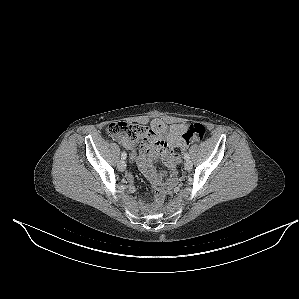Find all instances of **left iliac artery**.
<instances>
[{"label": "left iliac artery", "instance_id": "left-iliac-artery-1", "mask_svg": "<svg viewBox=\"0 0 299 299\" xmlns=\"http://www.w3.org/2000/svg\"><path fill=\"white\" fill-rule=\"evenodd\" d=\"M184 159H186V160H189V159H190V156H189L188 153H185V154H184Z\"/></svg>", "mask_w": 299, "mask_h": 299}]
</instances>
